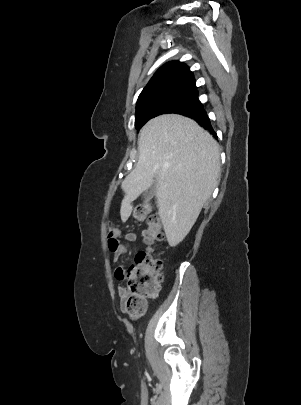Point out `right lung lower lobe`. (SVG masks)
Segmentation results:
<instances>
[{
	"instance_id": "98d812e1",
	"label": "right lung lower lobe",
	"mask_w": 301,
	"mask_h": 405,
	"mask_svg": "<svg viewBox=\"0 0 301 405\" xmlns=\"http://www.w3.org/2000/svg\"><path fill=\"white\" fill-rule=\"evenodd\" d=\"M180 114L194 119L195 121H197L200 124V126H202L206 130H209L210 133L215 138H217V135L214 132L212 126H211L210 119L208 118V115H207L206 111L203 108L202 109H196V110H190V111L182 112Z\"/></svg>"
}]
</instances>
